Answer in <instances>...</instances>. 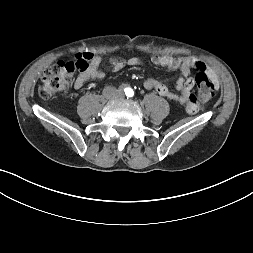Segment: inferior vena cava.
I'll return each mask as SVG.
<instances>
[{
    "mask_svg": "<svg viewBox=\"0 0 253 253\" xmlns=\"http://www.w3.org/2000/svg\"><path fill=\"white\" fill-rule=\"evenodd\" d=\"M109 90H111L112 92L116 91V89L114 87H110Z\"/></svg>",
    "mask_w": 253,
    "mask_h": 253,
    "instance_id": "1",
    "label": "inferior vena cava"
}]
</instances>
